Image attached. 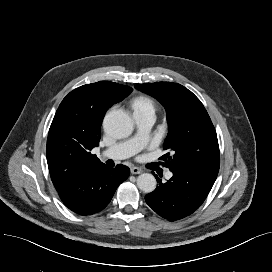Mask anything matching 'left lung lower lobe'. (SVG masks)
<instances>
[{
    "label": "left lung lower lobe",
    "mask_w": 272,
    "mask_h": 272,
    "mask_svg": "<svg viewBox=\"0 0 272 272\" xmlns=\"http://www.w3.org/2000/svg\"><path fill=\"white\" fill-rule=\"evenodd\" d=\"M173 177L145 196L161 217L176 221L196 211L209 194L218 172L200 168L171 170ZM156 177V175H155Z\"/></svg>",
    "instance_id": "left-lung-lower-lobe-1"
}]
</instances>
